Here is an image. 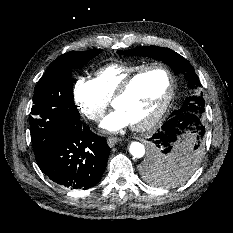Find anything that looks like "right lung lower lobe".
<instances>
[{
    "mask_svg": "<svg viewBox=\"0 0 233 233\" xmlns=\"http://www.w3.org/2000/svg\"><path fill=\"white\" fill-rule=\"evenodd\" d=\"M110 150L105 137L78 121L62 127L38 165L52 181L85 190L100 180Z\"/></svg>",
    "mask_w": 233,
    "mask_h": 233,
    "instance_id": "98d812e1",
    "label": "right lung lower lobe"
}]
</instances>
